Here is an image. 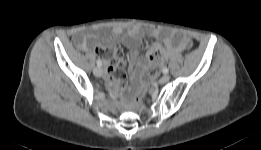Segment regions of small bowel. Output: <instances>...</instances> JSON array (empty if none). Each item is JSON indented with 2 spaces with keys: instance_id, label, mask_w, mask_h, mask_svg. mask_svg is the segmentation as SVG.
<instances>
[{
  "instance_id": "obj_1",
  "label": "small bowel",
  "mask_w": 261,
  "mask_h": 150,
  "mask_svg": "<svg viewBox=\"0 0 261 150\" xmlns=\"http://www.w3.org/2000/svg\"><path fill=\"white\" fill-rule=\"evenodd\" d=\"M148 35L160 40V44L153 45V49L161 52V63L191 47L192 42L185 34L168 28L131 26L125 33L120 26H114L109 32L97 29L78 30L73 35L76 46L86 52H98L102 58L109 61V79L111 82H120L124 78V61L121 50L112 48L114 41L121 42L129 50V68L132 78L146 66L144 59L138 58L139 49L143 44L144 36Z\"/></svg>"
}]
</instances>
